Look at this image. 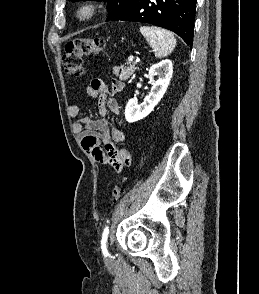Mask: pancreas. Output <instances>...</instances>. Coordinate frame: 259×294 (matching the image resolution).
I'll return each mask as SVG.
<instances>
[{"mask_svg": "<svg viewBox=\"0 0 259 294\" xmlns=\"http://www.w3.org/2000/svg\"><path fill=\"white\" fill-rule=\"evenodd\" d=\"M136 63L127 62L125 65L120 67L114 66L112 72L114 75L119 76L120 80H128L129 77L135 72L136 70Z\"/></svg>", "mask_w": 259, "mask_h": 294, "instance_id": "cf45deb5", "label": "pancreas"}]
</instances>
